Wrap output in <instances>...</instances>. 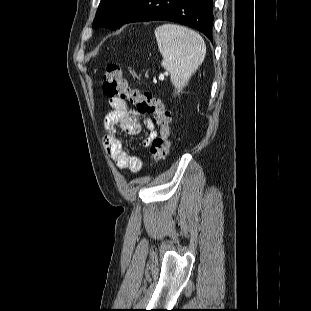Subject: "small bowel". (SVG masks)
<instances>
[{
  "label": "small bowel",
  "mask_w": 311,
  "mask_h": 311,
  "mask_svg": "<svg viewBox=\"0 0 311 311\" xmlns=\"http://www.w3.org/2000/svg\"><path fill=\"white\" fill-rule=\"evenodd\" d=\"M111 111L104 119V142L110 158L120 169H128L131 172H138L142 168V160L139 157L130 155L118 138V131L129 135H137L142 130L139 121L141 114L130 106L126 101L109 99ZM143 125L148 134L144 139V145L149 146L157 136L156 124L149 116H143Z\"/></svg>",
  "instance_id": "1"
}]
</instances>
